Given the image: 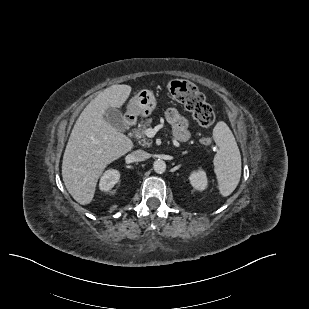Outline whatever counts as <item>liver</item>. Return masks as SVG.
<instances>
[{
  "mask_svg": "<svg viewBox=\"0 0 309 309\" xmlns=\"http://www.w3.org/2000/svg\"><path fill=\"white\" fill-rule=\"evenodd\" d=\"M132 88L113 85L101 91L81 112L70 134L62 162L64 184L75 201L92 202L104 169L133 148L132 141L104 118L121 108Z\"/></svg>",
  "mask_w": 309,
  "mask_h": 309,
  "instance_id": "obj_1",
  "label": "liver"
}]
</instances>
